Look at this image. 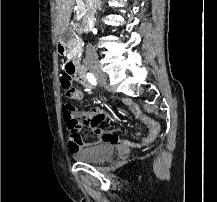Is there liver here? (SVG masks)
Instances as JSON below:
<instances>
[{
  "label": "liver",
  "mask_w": 217,
  "mask_h": 202,
  "mask_svg": "<svg viewBox=\"0 0 217 202\" xmlns=\"http://www.w3.org/2000/svg\"><path fill=\"white\" fill-rule=\"evenodd\" d=\"M57 14V32L63 34L69 28V22L72 10L76 4V0H55ZM77 24H74L76 28Z\"/></svg>",
  "instance_id": "1"
}]
</instances>
